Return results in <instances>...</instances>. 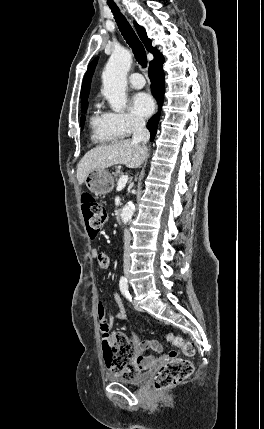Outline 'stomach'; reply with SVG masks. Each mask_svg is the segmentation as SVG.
<instances>
[{"label":"stomach","mask_w":264,"mask_h":429,"mask_svg":"<svg viewBox=\"0 0 264 429\" xmlns=\"http://www.w3.org/2000/svg\"><path fill=\"white\" fill-rule=\"evenodd\" d=\"M85 184L96 196H102L112 191L114 180L108 170L94 169L87 174Z\"/></svg>","instance_id":"0dacf381"}]
</instances>
